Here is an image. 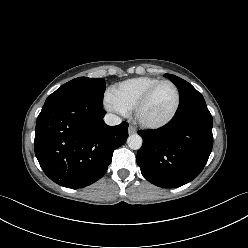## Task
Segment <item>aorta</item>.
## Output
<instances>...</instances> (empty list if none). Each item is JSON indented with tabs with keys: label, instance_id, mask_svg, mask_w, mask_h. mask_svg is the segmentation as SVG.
I'll list each match as a JSON object with an SVG mask.
<instances>
[{
	"label": "aorta",
	"instance_id": "obj_1",
	"mask_svg": "<svg viewBox=\"0 0 248 248\" xmlns=\"http://www.w3.org/2000/svg\"><path fill=\"white\" fill-rule=\"evenodd\" d=\"M143 143L142 138L138 134H132L127 139V144L129 148L133 150H138L141 148Z\"/></svg>",
	"mask_w": 248,
	"mask_h": 248
}]
</instances>
